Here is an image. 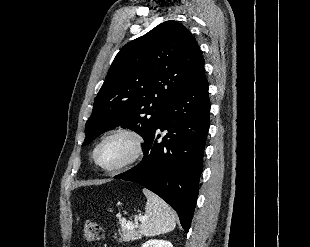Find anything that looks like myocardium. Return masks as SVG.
Listing matches in <instances>:
<instances>
[{"label": "myocardium", "mask_w": 310, "mask_h": 247, "mask_svg": "<svg viewBox=\"0 0 310 247\" xmlns=\"http://www.w3.org/2000/svg\"><path fill=\"white\" fill-rule=\"evenodd\" d=\"M117 136H125L129 138L132 142V152L130 156L124 160L123 162L112 166V167H106L102 165L98 160V152L101 148V146L109 139L117 137ZM145 151V144H144V137L143 135L136 129L131 127H120L117 128L110 133H108L106 136H104L101 141L97 144V146L94 149L93 152V160L95 164L100 167L102 170L108 172V173H116L120 172L126 168L131 167L132 165L136 164L143 156Z\"/></svg>", "instance_id": "myocardium-1"}]
</instances>
